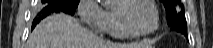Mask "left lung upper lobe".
Wrapping results in <instances>:
<instances>
[{"label":"left lung upper lobe","mask_w":213,"mask_h":48,"mask_svg":"<svg viewBox=\"0 0 213 48\" xmlns=\"http://www.w3.org/2000/svg\"><path fill=\"white\" fill-rule=\"evenodd\" d=\"M164 3L169 26L187 29L184 6L181 0H161Z\"/></svg>","instance_id":"1"}]
</instances>
